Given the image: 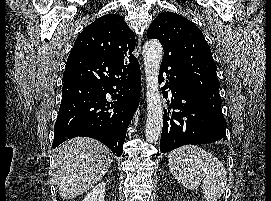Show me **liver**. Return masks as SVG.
Masks as SVG:
<instances>
[{
    "instance_id": "6515ba94",
    "label": "liver",
    "mask_w": 271,
    "mask_h": 201,
    "mask_svg": "<svg viewBox=\"0 0 271 201\" xmlns=\"http://www.w3.org/2000/svg\"><path fill=\"white\" fill-rule=\"evenodd\" d=\"M112 163L111 151L91 138L77 137L56 149L53 179L62 199H73L91 189Z\"/></svg>"
}]
</instances>
